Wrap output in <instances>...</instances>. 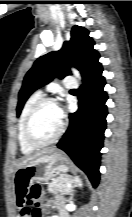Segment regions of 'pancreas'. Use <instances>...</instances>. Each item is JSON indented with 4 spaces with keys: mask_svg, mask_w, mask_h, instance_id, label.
I'll use <instances>...</instances> for the list:
<instances>
[{
    "mask_svg": "<svg viewBox=\"0 0 132 217\" xmlns=\"http://www.w3.org/2000/svg\"><path fill=\"white\" fill-rule=\"evenodd\" d=\"M73 181L70 175L61 174L57 178L53 179L52 182L48 184V191L53 194L60 193L62 195L68 194L71 191V188H68L67 185L71 184Z\"/></svg>",
    "mask_w": 132,
    "mask_h": 217,
    "instance_id": "obj_1",
    "label": "pancreas"
}]
</instances>
